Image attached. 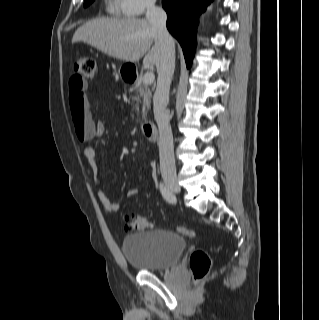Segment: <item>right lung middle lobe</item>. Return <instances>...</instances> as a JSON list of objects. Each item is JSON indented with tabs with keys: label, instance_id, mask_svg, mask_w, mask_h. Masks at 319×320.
I'll return each mask as SVG.
<instances>
[{
	"label": "right lung middle lobe",
	"instance_id": "obj_1",
	"mask_svg": "<svg viewBox=\"0 0 319 320\" xmlns=\"http://www.w3.org/2000/svg\"><path fill=\"white\" fill-rule=\"evenodd\" d=\"M94 0H87L84 3V6L87 7L89 4H91Z\"/></svg>",
	"mask_w": 319,
	"mask_h": 320
}]
</instances>
